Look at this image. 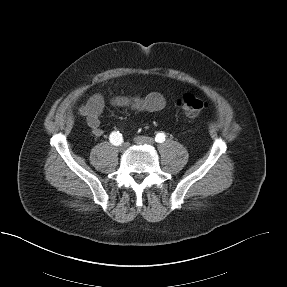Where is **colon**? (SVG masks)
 Here are the masks:
<instances>
[{
    "label": "colon",
    "instance_id": "obj_1",
    "mask_svg": "<svg viewBox=\"0 0 287 287\" xmlns=\"http://www.w3.org/2000/svg\"><path fill=\"white\" fill-rule=\"evenodd\" d=\"M176 105L182 114L191 118L200 115L208 107L206 102L190 93L178 98Z\"/></svg>",
    "mask_w": 287,
    "mask_h": 287
}]
</instances>
